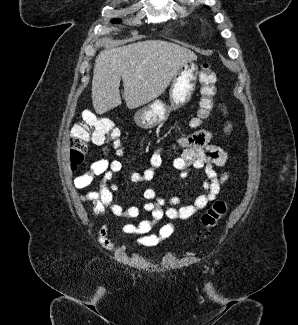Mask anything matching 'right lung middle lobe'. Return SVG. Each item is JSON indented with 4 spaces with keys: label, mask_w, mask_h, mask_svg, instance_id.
Listing matches in <instances>:
<instances>
[{
    "label": "right lung middle lobe",
    "mask_w": 298,
    "mask_h": 325,
    "mask_svg": "<svg viewBox=\"0 0 298 325\" xmlns=\"http://www.w3.org/2000/svg\"><path fill=\"white\" fill-rule=\"evenodd\" d=\"M116 22H118V23H119L120 21H119V20H117V19H113V20H112V23H116Z\"/></svg>",
    "instance_id": "dd1d6c3e"
}]
</instances>
